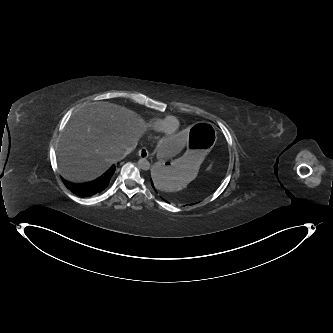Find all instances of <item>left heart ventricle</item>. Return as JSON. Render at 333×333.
Wrapping results in <instances>:
<instances>
[{"label": "left heart ventricle", "mask_w": 333, "mask_h": 333, "mask_svg": "<svg viewBox=\"0 0 333 333\" xmlns=\"http://www.w3.org/2000/svg\"><path fill=\"white\" fill-rule=\"evenodd\" d=\"M175 129H176V122H175V120H170L167 123V132L169 134H171L172 132H174Z\"/></svg>", "instance_id": "obj_1"}]
</instances>
